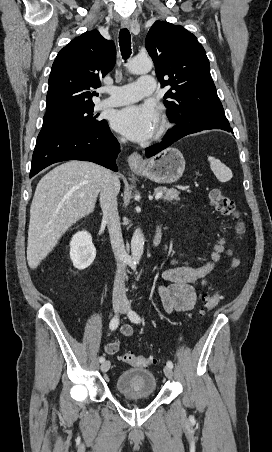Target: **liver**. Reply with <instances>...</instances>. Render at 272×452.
Wrapping results in <instances>:
<instances>
[{
  "instance_id": "6515ba94",
  "label": "liver",
  "mask_w": 272,
  "mask_h": 452,
  "mask_svg": "<svg viewBox=\"0 0 272 452\" xmlns=\"http://www.w3.org/2000/svg\"><path fill=\"white\" fill-rule=\"evenodd\" d=\"M109 174V170L98 164L72 160L43 176L30 207L27 245L30 268H37L62 235L93 212Z\"/></svg>"
}]
</instances>
